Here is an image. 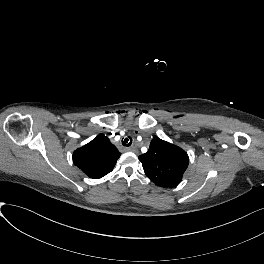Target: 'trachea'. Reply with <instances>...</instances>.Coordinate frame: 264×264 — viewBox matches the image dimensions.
Instances as JSON below:
<instances>
[{
    "label": "trachea",
    "mask_w": 264,
    "mask_h": 264,
    "mask_svg": "<svg viewBox=\"0 0 264 264\" xmlns=\"http://www.w3.org/2000/svg\"><path fill=\"white\" fill-rule=\"evenodd\" d=\"M122 144L124 146H130L132 144V138L131 137L125 138L124 140H122Z\"/></svg>",
    "instance_id": "trachea-1"
}]
</instances>
